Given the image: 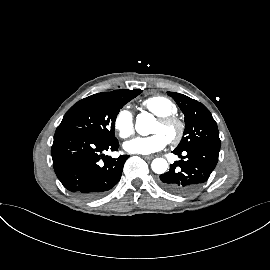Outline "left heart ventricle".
Masks as SVG:
<instances>
[{"label":"left heart ventricle","mask_w":270,"mask_h":270,"mask_svg":"<svg viewBox=\"0 0 270 270\" xmlns=\"http://www.w3.org/2000/svg\"><path fill=\"white\" fill-rule=\"evenodd\" d=\"M152 133H160L164 135L167 140L171 139L175 133H176V127L175 126H163L158 121L154 124Z\"/></svg>","instance_id":"1"}]
</instances>
